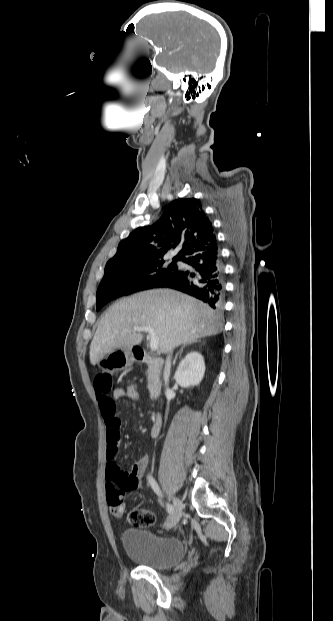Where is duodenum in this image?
Segmentation results:
<instances>
[{
	"label": "duodenum",
	"instance_id": "duodenum-1",
	"mask_svg": "<svg viewBox=\"0 0 333 621\" xmlns=\"http://www.w3.org/2000/svg\"><path fill=\"white\" fill-rule=\"evenodd\" d=\"M133 356L137 362L152 367L158 374L161 372L162 367H163V361L160 358L153 357L150 354H148L146 351L139 349V348H136L133 350ZM159 384L161 385L160 382ZM161 427H162V418L159 417L155 420L151 428V434L153 436H157L161 430Z\"/></svg>",
	"mask_w": 333,
	"mask_h": 621
}]
</instances>
